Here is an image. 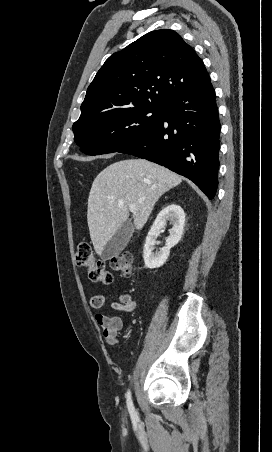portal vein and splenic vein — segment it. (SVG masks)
I'll list each match as a JSON object with an SVG mask.
<instances>
[{"instance_id":"18ae733b","label":"portal vein and splenic vein","mask_w":272,"mask_h":452,"mask_svg":"<svg viewBox=\"0 0 272 452\" xmlns=\"http://www.w3.org/2000/svg\"><path fill=\"white\" fill-rule=\"evenodd\" d=\"M144 199H141L140 201H143ZM129 210L131 211V212H134L135 211V205L134 204H130L129 205Z\"/></svg>"}]
</instances>
